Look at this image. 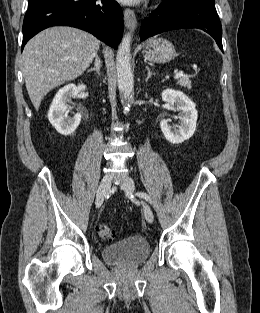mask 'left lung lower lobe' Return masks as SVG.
Instances as JSON below:
<instances>
[{
    "label": "left lung lower lobe",
    "mask_w": 260,
    "mask_h": 313,
    "mask_svg": "<svg viewBox=\"0 0 260 313\" xmlns=\"http://www.w3.org/2000/svg\"><path fill=\"white\" fill-rule=\"evenodd\" d=\"M180 28H198L210 34L222 46V27L214 4L194 0H164L143 21L140 39Z\"/></svg>",
    "instance_id": "left-lung-lower-lobe-1"
}]
</instances>
